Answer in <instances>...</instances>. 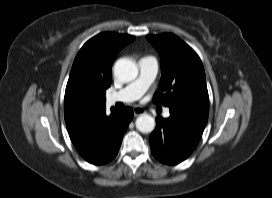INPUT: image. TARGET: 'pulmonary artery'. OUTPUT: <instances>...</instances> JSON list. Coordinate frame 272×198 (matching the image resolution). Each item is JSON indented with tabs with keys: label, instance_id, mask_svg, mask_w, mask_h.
<instances>
[{
	"label": "pulmonary artery",
	"instance_id": "pulmonary-artery-1",
	"mask_svg": "<svg viewBox=\"0 0 272 198\" xmlns=\"http://www.w3.org/2000/svg\"><path fill=\"white\" fill-rule=\"evenodd\" d=\"M139 77L118 92L107 96L109 104L118 102L129 103L139 99L154 81L158 71V62L155 57L146 56L139 60ZM165 117L170 115L169 109L163 112Z\"/></svg>",
	"mask_w": 272,
	"mask_h": 198
}]
</instances>
